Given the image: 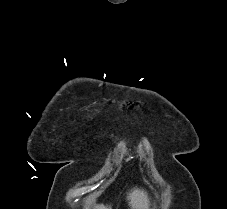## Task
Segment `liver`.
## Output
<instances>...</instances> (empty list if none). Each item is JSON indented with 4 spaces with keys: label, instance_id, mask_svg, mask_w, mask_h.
Returning a JSON list of instances; mask_svg holds the SVG:
<instances>
[{
    "label": "liver",
    "instance_id": "6515ba94",
    "mask_svg": "<svg viewBox=\"0 0 227 209\" xmlns=\"http://www.w3.org/2000/svg\"><path fill=\"white\" fill-rule=\"evenodd\" d=\"M130 207L132 209H148V201H146V195L144 191H132L129 193ZM95 209H111V207H104V205H98Z\"/></svg>",
    "mask_w": 227,
    "mask_h": 209
}]
</instances>
